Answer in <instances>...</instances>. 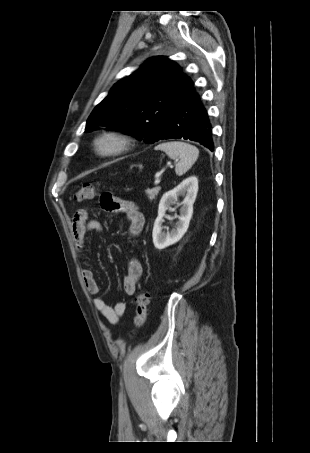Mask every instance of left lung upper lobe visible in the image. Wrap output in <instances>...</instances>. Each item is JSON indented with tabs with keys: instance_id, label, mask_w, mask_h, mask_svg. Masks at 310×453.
I'll return each mask as SVG.
<instances>
[{
	"instance_id": "5c2ea615",
	"label": "left lung upper lobe",
	"mask_w": 310,
	"mask_h": 453,
	"mask_svg": "<svg viewBox=\"0 0 310 453\" xmlns=\"http://www.w3.org/2000/svg\"><path fill=\"white\" fill-rule=\"evenodd\" d=\"M188 80L166 57L147 60L113 86L89 116L85 132L98 125L116 126L147 143L159 141Z\"/></svg>"
}]
</instances>
